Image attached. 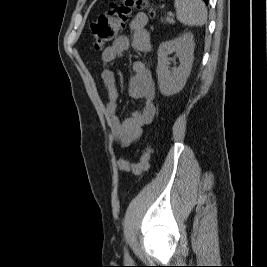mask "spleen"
<instances>
[{
    "mask_svg": "<svg viewBox=\"0 0 267 267\" xmlns=\"http://www.w3.org/2000/svg\"><path fill=\"white\" fill-rule=\"evenodd\" d=\"M177 19L184 25L202 26L207 22V9L202 0H175Z\"/></svg>",
    "mask_w": 267,
    "mask_h": 267,
    "instance_id": "3e777b00",
    "label": "spleen"
}]
</instances>
